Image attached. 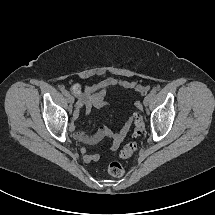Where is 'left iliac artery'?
<instances>
[{
	"instance_id": "left-iliac-artery-1",
	"label": "left iliac artery",
	"mask_w": 215,
	"mask_h": 215,
	"mask_svg": "<svg viewBox=\"0 0 215 215\" xmlns=\"http://www.w3.org/2000/svg\"><path fill=\"white\" fill-rule=\"evenodd\" d=\"M155 94H156V90L155 89H152L151 91H150V96L151 97H153V96H155Z\"/></svg>"
}]
</instances>
